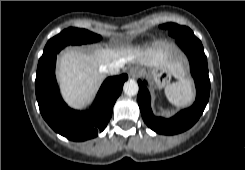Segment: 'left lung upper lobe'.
I'll return each mask as SVG.
<instances>
[{
  "instance_id": "5c2ea615",
  "label": "left lung upper lobe",
  "mask_w": 245,
  "mask_h": 170,
  "mask_svg": "<svg viewBox=\"0 0 245 170\" xmlns=\"http://www.w3.org/2000/svg\"><path fill=\"white\" fill-rule=\"evenodd\" d=\"M162 27L168 29L169 35L174 38H183V34L187 32V35H186L187 37L190 36V38L193 41L200 42V40L196 38L192 30H190L188 27L180 26L175 23H166L162 25Z\"/></svg>"
}]
</instances>
